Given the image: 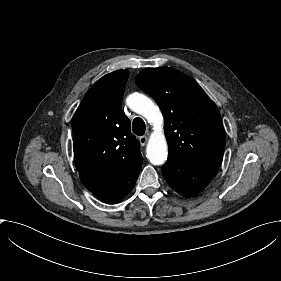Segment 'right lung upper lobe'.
<instances>
[{"label":"right lung upper lobe","instance_id":"right-lung-upper-lobe-1","mask_svg":"<svg viewBox=\"0 0 281 281\" xmlns=\"http://www.w3.org/2000/svg\"><path fill=\"white\" fill-rule=\"evenodd\" d=\"M128 70L103 76L84 96L72 120L74 162L95 196L111 189L142 159L121 109Z\"/></svg>","mask_w":281,"mask_h":281}]
</instances>
